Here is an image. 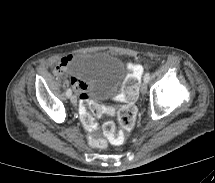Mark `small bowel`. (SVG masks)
<instances>
[{"mask_svg":"<svg viewBox=\"0 0 215 183\" xmlns=\"http://www.w3.org/2000/svg\"><path fill=\"white\" fill-rule=\"evenodd\" d=\"M74 56L72 55H67L59 60L57 63L56 67L54 68V73H62L64 72L70 65L72 59ZM129 69L132 73V75L136 78H140L143 74V67L140 64H130ZM71 83L74 87V89L80 94V98L83 95H87V84L83 80L77 78V77H72L71 78Z\"/></svg>","mask_w":215,"mask_h":183,"instance_id":"obj_1","label":"small bowel"}]
</instances>
